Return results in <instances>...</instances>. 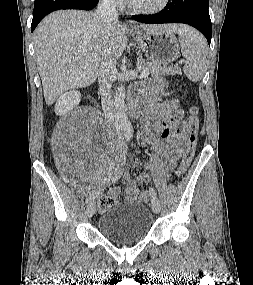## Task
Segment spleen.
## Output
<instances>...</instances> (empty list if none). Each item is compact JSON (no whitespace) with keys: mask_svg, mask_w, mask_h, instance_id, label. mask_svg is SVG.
<instances>
[{"mask_svg":"<svg viewBox=\"0 0 253 285\" xmlns=\"http://www.w3.org/2000/svg\"><path fill=\"white\" fill-rule=\"evenodd\" d=\"M178 35L181 53L186 59L183 71L189 80L199 82L206 70L207 42L203 35L189 26H184Z\"/></svg>","mask_w":253,"mask_h":285,"instance_id":"obj_1","label":"spleen"}]
</instances>
